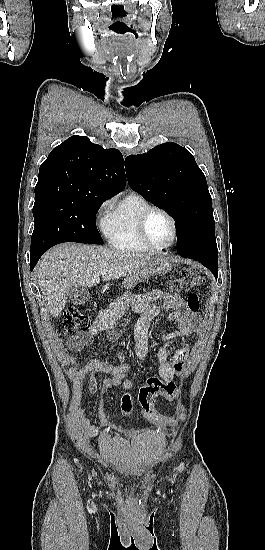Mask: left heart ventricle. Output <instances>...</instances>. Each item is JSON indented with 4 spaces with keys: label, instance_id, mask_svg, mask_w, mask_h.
<instances>
[{
    "label": "left heart ventricle",
    "instance_id": "b2bd125f",
    "mask_svg": "<svg viewBox=\"0 0 265 550\" xmlns=\"http://www.w3.org/2000/svg\"><path fill=\"white\" fill-rule=\"evenodd\" d=\"M147 233L154 244H167L172 238V226L169 219L160 212H154L148 219Z\"/></svg>",
    "mask_w": 265,
    "mask_h": 550
}]
</instances>
